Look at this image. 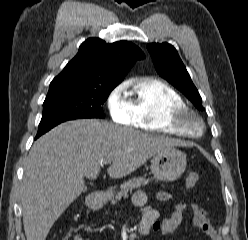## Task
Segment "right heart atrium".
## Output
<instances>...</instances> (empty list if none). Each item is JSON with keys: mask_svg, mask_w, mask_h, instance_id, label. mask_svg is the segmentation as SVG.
<instances>
[{"mask_svg": "<svg viewBox=\"0 0 248 240\" xmlns=\"http://www.w3.org/2000/svg\"><path fill=\"white\" fill-rule=\"evenodd\" d=\"M126 89L125 83H120L112 88L106 97V107L113 121L133 126L134 116Z\"/></svg>", "mask_w": 248, "mask_h": 240, "instance_id": "right-heart-atrium-1", "label": "right heart atrium"}]
</instances>
